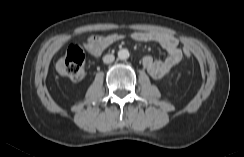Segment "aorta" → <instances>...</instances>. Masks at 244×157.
<instances>
[{
  "mask_svg": "<svg viewBox=\"0 0 244 157\" xmlns=\"http://www.w3.org/2000/svg\"><path fill=\"white\" fill-rule=\"evenodd\" d=\"M130 54L127 49H121L118 51V58L120 60H127L129 58Z\"/></svg>",
  "mask_w": 244,
  "mask_h": 157,
  "instance_id": "aorta-1",
  "label": "aorta"
}]
</instances>
